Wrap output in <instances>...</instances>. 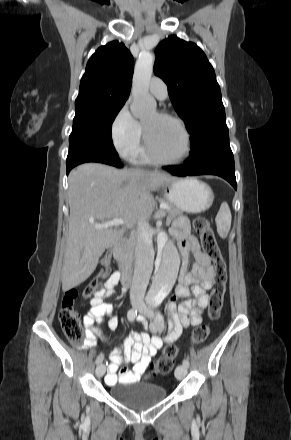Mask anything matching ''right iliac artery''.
<instances>
[{"mask_svg":"<svg viewBox=\"0 0 291 440\" xmlns=\"http://www.w3.org/2000/svg\"><path fill=\"white\" fill-rule=\"evenodd\" d=\"M136 316H137V310L136 309H130L128 311L127 317H128V320L130 322L134 321ZM103 359H104L103 354H99L98 357L96 358V364H100L103 361Z\"/></svg>","mask_w":291,"mask_h":440,"instance_id":"obj_1","label":"right iliac artery"}]
</instances>
